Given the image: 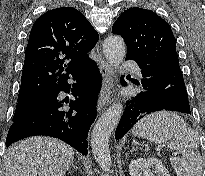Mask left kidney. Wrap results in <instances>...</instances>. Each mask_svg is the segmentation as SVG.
I'll list each match as a JSON object with an SVG mask.
<instances>
[{"instance_id": "5707ae66", "label": "left kidney", "mask_w": 205, "mask_h": 176, "mask_svg": "<svg viewBox=\"0 0 205 176\" xmlns=\"http://www.w3.org/2000/svg\"><path fill=\"white\" fill-rule=\"evenodd\" d=\"M130 176H170L162 161L156 158L132 160L129 164Z\"/></svg>"}]
</instances>
